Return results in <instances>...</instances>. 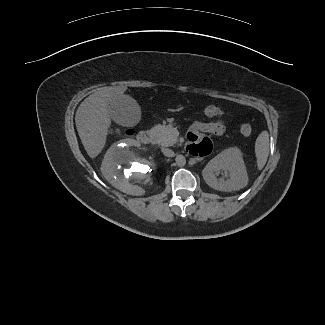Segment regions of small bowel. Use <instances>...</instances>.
<instances>
[{
  "label": "small bowel",
  "mask_w": 325,
  "mask_h": 325,
  "mask_svg": "<svg viewBox=\"0 0 325 325\" xmlns=\"http://www.w3.org/2000/svg\"><path fill=\"white\" fill-rule=\"evenodd\" d=\"M224 131V124L220 119H214L207 122H194L191 126L189 144L187 151L192 156L202 157L208 155L212 150V141L200 133H209L221 135Z\"/></svg>",
  "instance_id": "c3829d8e"
}]
</instances>
